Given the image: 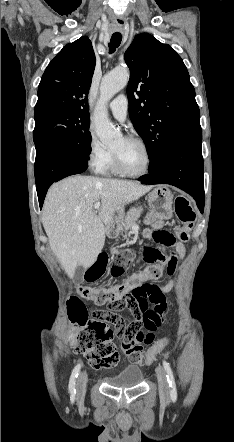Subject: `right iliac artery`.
Returning a JSON list of instances; mask_svg holds the SVG:
<instances>
[{"instance_id":"obj_1","label":"right iliac artery","mask_w":234,"mask_h":442,"mask_svg":"<svg viewBox=\"0 0 234 442\" xmlns=\"http://www.w3.org/2000/svg\"><path fill=\"white\" fill-rule=\"evenodd\" d=\"M80 367H81L80 364H78L73 369V372L71 374L70 381H69V393L71 395V400L72 401L74 400L75 394H76L75 385H76V379H77L79 371H80Z\"/></svg>"}]
</instances>
